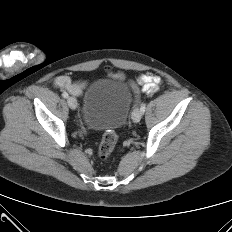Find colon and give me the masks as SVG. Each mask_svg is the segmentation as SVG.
<instances>
[{"label": "colon", "mask_w": 232, "mask_h": 232, "mask_svg": "<svg viewBox=\"0 0 232 232\" xmlns=\"http://www.w3.org/2000/svg\"><path fill=\"white\" fill-rule=\"evenodd\" d=\"M117 142V134L114 131H107L103 137L98 148V156L101 159L108 158L114 150Z\"/></svg>", "instance_id": "obj_1"}]
</instances>
